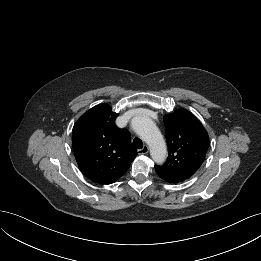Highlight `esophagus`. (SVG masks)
I'll return each instance as SVG.
<instances>
[{
	"label": "esophagus",
	"mask_w": 261,
	"mask_h": 261,
	"mask_svg": "<svg viewBox=\"0 0 261 261\" xmlns=\"http://www.w3.org/2000/svg\"><path fill=\"white\" fill-rule=\"evenodd\" d=\"M149 151V147L147 145H144L142 149L137 150L139 155L147 154Z\"/></svg>",
	"instance_id": "1"
}]
</instances>
